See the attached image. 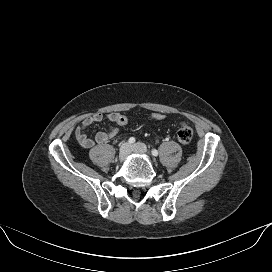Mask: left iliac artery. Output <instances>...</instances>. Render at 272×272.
Instances as JSON below:
<instances>
[{"instance_id":"left-iliac-artery-1","label":"left iliac artery","mask_w":272,"mask_h":272,"mask_svg":"<svg viewBox=\"0 0 272 272\" xmlns=\"http://www.w3.org/2000/svg\"><path fill=\"white\" fill-rule=\"evenodd\" d=\"M151 153L153 156H158V151L156 149H153Z\"/></svg>"}]
</instances>
